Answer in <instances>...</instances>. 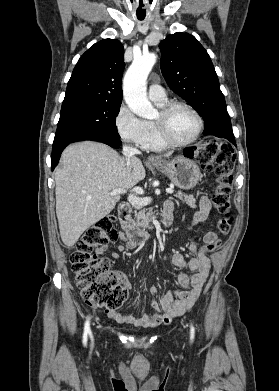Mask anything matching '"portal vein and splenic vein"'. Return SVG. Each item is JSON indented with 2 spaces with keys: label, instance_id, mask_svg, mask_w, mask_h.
<instances>
[{
  "label": "portal vein and splenic vein",
  "instance_id": "portal-vein-and-splenic-vein-1",
  "mask_svg": "<svg viewBox=\"0 0 279 391\" xmlns=\"http://www.w3.org/2000/svg\"><path fill=\"white\" fill-rule=\"evenodd\" d=\"M133 191H135L136 193L141 194V195L144 193V190L141 187H135L133 189ZM166 192L168 194H173L174 191L171 188H167ZM123 193H126V191L124 189H114V190H112L110 192V195H120V194H123Z\"/></svg>",
  "mask_w": 279,
  "mask_h": 391
}]
</instances>
